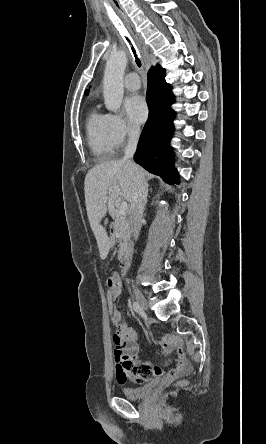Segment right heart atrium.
<instances>
[{"label": "right heart atrium", "instance_id": "1", "mask_svg": "<svg viewBox=\"0 0 266 444\" xmlns=\"http://www.w3.org/2000/svg\"><path fill=\"white\" fill-rule=\"evenodd\" d=\"M107 118L110 134L116 146L124 144L127 139L137 134V129L129 124L123 116L108 114Z\"/></svg>", "mask_w": 266, "mask_h": 444}]
</instances>
